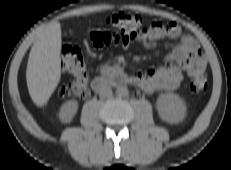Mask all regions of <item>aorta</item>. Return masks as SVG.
<instances>
[{
    "instance_id": "1",
    "label": "aorta",
    "mask_w": 231,
    "mask_h": 170,
    "mask_svg": "<svg viewBox=\"0 0 231 170\" xmlns=\"http://www.w3.org/2000/svg\"><path fill=\"white\" fill-rule=\"evenodd\" d=\"M118 96H127L129 94L128 88L126 86H119L116 89Z\"/></svg>"
}]
</instances>
